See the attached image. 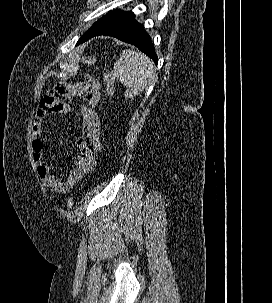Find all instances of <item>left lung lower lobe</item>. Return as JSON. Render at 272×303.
<instances>
[{
    "label": "left lung lower lobe",
    "mask_w": 272,
    "mask_h": 303,
    "mask_svg": "<svg viewBox=\"0 0 272 303\" xmlns=\"http://www.w3.org/2000/svg\"><path fill=\"white\" fill-rule=\"evenodd\" d=\"M98 35L112 36L121 41L130 43L152 58L156 64L158 63L151 38L143 26L135 20L132 12H119L104 19L88 30L79 39L77 44L84 43L90 38Z\"/></svg>",
    "instance_id": "left-lung-lower-lobe-1"
}]
</instances>
